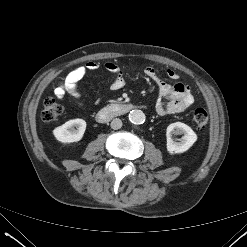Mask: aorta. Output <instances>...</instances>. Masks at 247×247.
<instances>
[{"label": "aorta", "instance_id": "obj_1", "mask_svg": "<svg viewBox=\"0 0 247 247\" xmlns=\"http://www.w3.org/2000/svg\"><path fill=\"white\" fill-rule=\"evenodd\" d=\"M128 119L132 125L138 126L145 122L146 116L143 111L134 109L130 111Z\"/></svg>", "mask_w": 247, "mask_h": 247}]
</instances>
